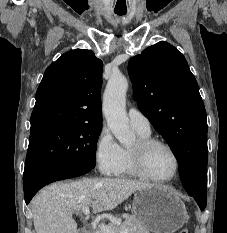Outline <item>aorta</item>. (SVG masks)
Segmentation results:
<instances>
[{"label":"aorta","instance_id":"762f6f07","mask_svg":"<svg viewBox=\"0 0 227 233\" xmlns=\"http://www.w3.org/2000/svg\"><path fill=\"white\" fill-rule=\"evenodd\" d=\"M128 81L124 75L113 74L106 86L103 96V112L113 135L127 145L134 141L135 135L129 128L126 114V92Z\"/></svg>","mask_w":227,"mask_h":233}]
</instances>
